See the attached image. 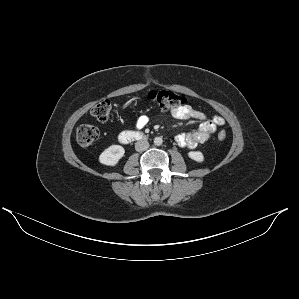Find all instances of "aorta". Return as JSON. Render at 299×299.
Wrapping results in <instances>:
<instances>
[{"instance_id":"762f6f07","label":"aorta","mask_w":299,"mask_h":299,"mask_svg":"<svg viewBox=\"0 0 299 299\" xmlns=\"http://www.w3.org/2000/svg\"><path fill=\"white\" fill-rule=\"evenodd\" d=\"M162 143H163V139L161 137H156L154 139V144L155 145L160 146V145H162Z\"/></svg>"}]
</instances>
